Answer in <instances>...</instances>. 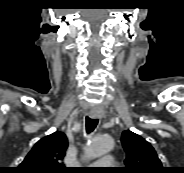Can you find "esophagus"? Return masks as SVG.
Masks as SVG:
<instances>
[{"label":"esophagus","instance_id":"34e87169","mask_svg":"<svg viewBox=\"0 0 184 173\" xmlns=\"http://www.w3.org/2000/svg\"><path fill=\"white\" fill-rule=\"evenodd\" d=\"M91 118H98V117H101L102 115V112L101 110L97 109V108H94L92 109L89 114H88Z\"/></svg>","mask_w":184,"mask_h":173}]
</instances>
